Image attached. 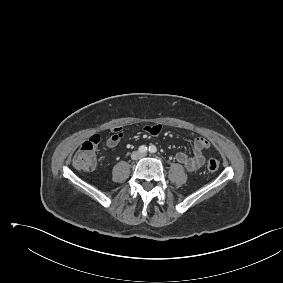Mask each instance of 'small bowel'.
Returning <instances> with one entry per match:
<instances>
[{
  "mask_svg": "<svg viewBox=\"0 0 283 283\" xmlns=\"http://www.w3.org/2000/svg\"><path fill=\"white\" fill-rule=\"evenodd\" d=\"M161 129V126L158 124L147 126L145 128L146 132L153 136H158L161 132ZM111 131L112 135L109 136L105 142L108 148L116 147L124 134L123 128L119 126L113 127ZM209 146L210 143L206 138L198 137L194 142V149L192 155H188L183 151H179L176 153L175 158L188 171H195L204 164L206 159L204 151L208 149Z\"/></svg>",
  "mask_w": 283,
  "mask_h": 283,
  "instance_id": "obj_1",
  "label": "small bowel"
}]
</instances>
